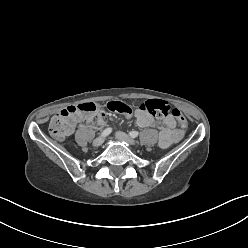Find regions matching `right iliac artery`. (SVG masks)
I'll list each match as a JSON object with an SVG mask.
<instances>
[{
  "label": "right iliac artery",
  "mask_w": 248,
  "mask_h": 248,
  "mask_svg": "<svg viewBox=\"0 0 248 248\" xmlns=\"http://www.w3.org/2000/svg\"><path fill=\"white\" fill-rule=\"evenodd\" d=\"M112 132V128H106L102 133L101 136L105 137L108 136Z\"/></svg>",
  "instance_id": "right-iliac-artery-1"
}]
</instances>
